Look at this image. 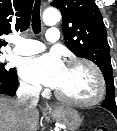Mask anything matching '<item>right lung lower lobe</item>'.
I'll return each instance as SVG.
<instances>
[{"mask_svg": "<svg viewBox=\"0 0 117 131\" xmlns=\"http://www.w3.org/2000/svg\"><path fill=\"white\" fill-rule=\"evenodd\" d=\"M17 88H18L17 73H16V77L14 81L6 82L3 80H0V93L2 94L14 96Z\"/></svg>", "mask_w": 117, "mask_h": 131, "instance_id": "98d812e1", "label": "right lung lower lobe"}]
</instances>
